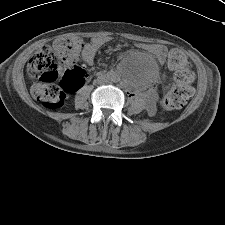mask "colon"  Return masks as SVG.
Wrapping results in <instances>:
<instances>
[{"label":"colon","mask_w":225,"mask_h":225,"mask_svg":"<svg viewBox=\"0 0 225 225\" xmlns=\"http://www.w3.org/2000/svg\"><path fill=\"white\" fill-rule=\"evenodd\" d=\"M82 45L81 38L61 37L53 45L43 46L29 61L27 75L36 81L31 92L43 107L51 110L62 107L68 93L78 90L85 83L86 71L77 66ZM167 63L174 83L163 95L161 106L167 110H176L193 96V72L182 51H171ZM61 70L65 74L57 82Z\"/></svg>","instance_id":"colon-1"}]
</instances>
